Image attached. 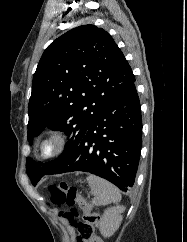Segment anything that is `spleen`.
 Masks as SVG:
<instances>
[{
    "instance_id": "spleen-1",
    "label": "spleen",
    "mask_w": 187,
    "mask_h": 242,
    "mask_svg": "<svg viewBox=\"0 0 187 242\" xmlns=\"http://www.w3.org/2000/svg\"><path fill=\"white\" fill-rule=\"evenodd\" d=\"M87 181L94 196L92 203L97 206L117 203L121 199V194L117 187L95 175H89Z\"/></svg>"
}]
</instances>
